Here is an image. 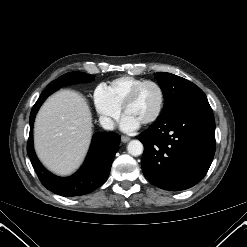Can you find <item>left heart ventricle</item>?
I'll return each instance as SVG.
<instances>
[{"label": "left heart ventricle", "instance_id": "obj_1", "mask_svg": "<svg viewBox=\"0 0 247 247\" xmlns=\"http://www.w3.org/2000/svg\"><path fill=\"white\" fill-rule=\"evenodd\" d=\"M159 92L153 85L145 86L136 100L127 108L126 114L134 117L141 123L150 118L159 105Z\"/></svg>", "mask_w": 247, "mask_h": 247}]
</instances>
